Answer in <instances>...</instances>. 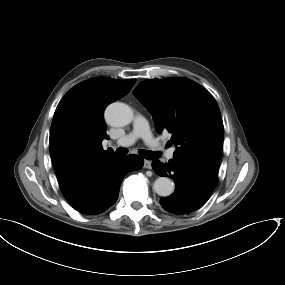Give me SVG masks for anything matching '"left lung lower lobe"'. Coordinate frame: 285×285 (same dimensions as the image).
Instances as JSON below:
<instances>
[{
	"instance_id": "obj_1",
	"label": "left lung lower lobe",
	"mask_w": 285,
	"mask_h": 285,
	"mask_svg": "<svg viewBox=\"0 0 285 285\" xmlns=\"http://www.w3.org/2000/svg\"><path fill=\"white\" fill-rule=\"evenodd\" d=\"M159 176L169 174L176 182V190L160 199L162 207L173 214H190L200 209L210 198L218 182L219 168L200 161L173 158L167 164L152 162Z\"/></svg>"
}]
</instances>
